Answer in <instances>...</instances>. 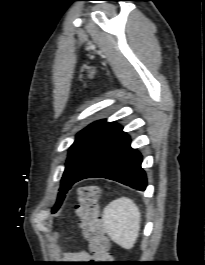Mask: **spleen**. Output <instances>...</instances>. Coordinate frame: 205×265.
I'll return each instance as SVG.
<instances>
[{"label":"spleen","instance_id":"obj_1","mask_svg":"<svg viewBox=\"0 0 205 265\" xmlns=\"http://www.w3.org/2000/svg\"><path fill=\"white\" fill-rule=\"evenodd\" d=\"M103 225L108 236L124 249L133 248L139 236L141 213L133 200L121 197L103 210Z\"/></svg>","mask_w":205,"mask_h":265}]
</instances>
